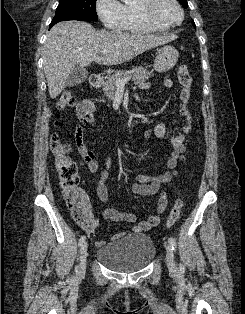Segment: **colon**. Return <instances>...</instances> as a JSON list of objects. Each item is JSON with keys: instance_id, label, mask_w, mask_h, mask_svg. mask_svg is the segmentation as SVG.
<instances>
[{"instance_id": "5ec220e1", "label": "colon", "mask_w": 245, "mask_h": 314, "mask_svg": "<svg viewBox=\"0 0 245 314\" xmlns=\"http://www.w3.org/2000/svg\"><path fill=\"white\" fill-rule=\"evenodd\" d=\"M178 81L182 87L180 99L182 106L180 112L187 120H191L189 110L186 106L189 95L192 78L189 73L188 66L182 64L178 70ZM76 104V98L69 90L64 91L57 100V108L65 110ZM185 130H190V124L185 125ZM51 150L54 155V167L57 172L60 187L66 199L67 206L71 212L73 219L83 228L90 227V221L85 210L84 195L78 187L79 177L77 173V165L68 156L70 146L63 141L58 134H53L51 138ZM183 203L179 199L175 202L170 216L165 226L171 227L180 217Z\"/></svg>"}]
</instances>
